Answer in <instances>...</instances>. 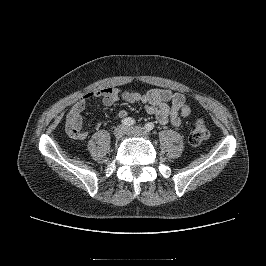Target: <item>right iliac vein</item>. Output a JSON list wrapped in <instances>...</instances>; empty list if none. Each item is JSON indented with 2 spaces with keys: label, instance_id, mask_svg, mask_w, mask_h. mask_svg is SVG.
<instances>
[{
  "label": "right iliac vein",
  "instance_id": "right-iliac-vein-1",
  "mask_svg": "<svg viewBox=\"0 0 266 266\" xmlns=\"http://www.w3.org/2000/svg\"><path fill=\"white\" fill-rule=\"evenodd\" d=\"M125 134V128L124 126H117L114 131L113 135L115 138H121Z\"/></svg>",
  "mask_w": 266,
  "mask_h": 266
}]
</instances>
